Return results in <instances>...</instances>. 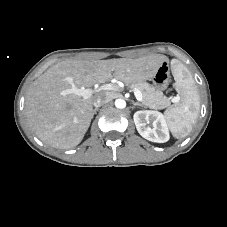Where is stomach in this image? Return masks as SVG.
<instances>
[{
  "instance_id": "obj_1",
  "label": "stomach",
  "mask_w": 227,
  "mask_h": 227,
  "mask_svg": "<svg viewBox=\"0 0 227 227\" xmlns=\"http://www.w3.org/2000/svg\"><path fill=\"white\" fill-rule=\"evenodd\" d=\"M169 61H163L162 65L156 71L154 76L151 78L155 89L164 90L169 84L171 70H168Z\"/></svg>"
}]
</instances>
